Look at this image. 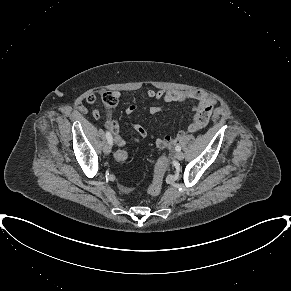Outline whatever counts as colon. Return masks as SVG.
<instances>
[{
	"mask_svg": "<svg viewBox=\"0 0 291 291\" xmlns=\"http://www.w3.org/2000/svg\"><path fill=\"white\" fill-rule=\"evenodd\" d=\"M118 102V97L116 96L115 92L107 91L102 95V103L108 107H114ZM128 151L124 148H118L114 151V159L117 163H123L128 159ZM167 162H168V152L164 151L163 154L158 159L153 179L148 187V194L151 196L158 195L162 188L163 177L167 170Z\"/></svg>",
	"mask_w": 291,
	"mask_h": 291,
	"instance_id": "1",
	"label": "colon"
}]
</instances>
